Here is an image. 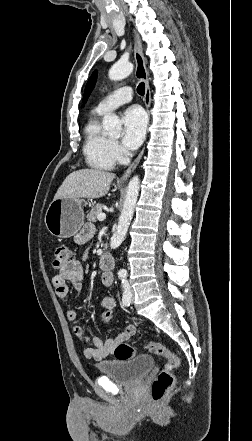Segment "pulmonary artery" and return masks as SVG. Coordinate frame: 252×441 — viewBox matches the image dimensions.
Wrapping results in <instances>:
<instances>
[{
  "mask_svg": "<svg viewBox=\"0 0 252 441\" xmlns=\"http://www.w3.org/2000/svg\"><path fill=\"white\" fill-rule=\"evenodd\" d=\"M132 99V88L129 86L122 87L111 95L104 98L96 107V110L100 113L106 114L117 107L128 103Z\"/></svg>",
  "mask_w": 252,
  "mask_h": 441,
  "instance_id": "obj_1",
  "label": "pulmonary artery"
}]
</instances>
